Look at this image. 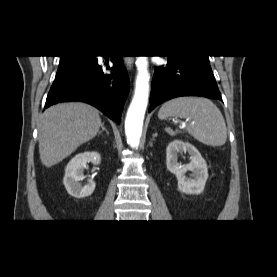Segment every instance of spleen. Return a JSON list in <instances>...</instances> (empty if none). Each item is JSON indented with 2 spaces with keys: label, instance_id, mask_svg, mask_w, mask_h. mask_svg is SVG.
<instances>
[{
  "label": "spleen",
  "instance_id": "3e777b00",
  "mask_svg": "<svg viewBox=\"0 0 277 277\" xmlns=\"http://www.w3.org/2000/svg\"><path fill=\"white\" fill-rule=\"evenodd\" d=\"M159 119L188 118L185 130L196 140L209 146H222L227 139L225 120L218 107L209 99L179 97L167 101L158 112Z\"/></svg>",
  "mask_w": 277,
  "mask_h": 277
}]
</instances>
